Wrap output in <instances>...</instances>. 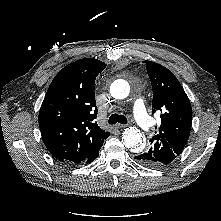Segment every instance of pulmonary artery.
<instances>
[{
    "label": "pulmonary artery",
    "mask_w": 221,
    "mask_h": 221,
    "mask_svg": "<svg viewBox=\"0 0 221 221\" xmlns=\"http://www.w3.org/2000/svg\"><path fill=\"white\" fill-rule=\"evenodd\" d=\"M133 113L138 125L143 130L148 131L151 127V120L146 112L144 102L142 99H138L135 101L133 106Z\"/></svg>",
    "instance_id": "obj_1"
}]
</instances>
